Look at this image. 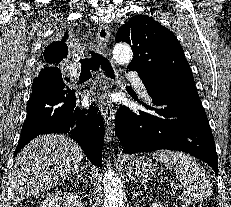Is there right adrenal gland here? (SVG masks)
<instances>
[{
  "mask_svg": "<svg viewBox=\"0 0 231 207\" xmlns=\"http://www.w3.org/2000/svg\"><path fill=\"white\" fill-rule=\"evenodd\" d=\"M75 174L77 176V179H79L80 178V170H79V168L76 169Z\"/></svg>",
  "mask_w": 231,
  "mask_h": 207,
  "instance_id": "obj_1",
  "label": "right adrenal gland"
}]
</instances>
